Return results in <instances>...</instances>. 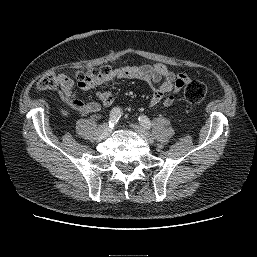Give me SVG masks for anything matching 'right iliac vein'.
I'll return each instance as SVG.
<instances>
[{
	"label": "right iliac vein",
	"instance_id": "63e3f726",
	"mask_svg": "<svg viewBox=\"0 0 257 257\" xmlns=\"http://www.w3.org/2000/svg\"><path fill=\"white\" fill-rule=\"evenodd\" d=\"M110 127L108 124H103L99 126L97 131V140L100 141L102 139H105L110 134Z\"/></svg>",
	"mask_w": 257,
	"mask_h": 257
}]
</instances>
